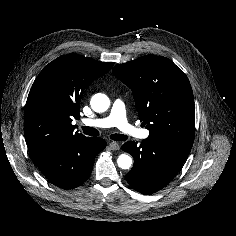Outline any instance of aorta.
I'll return each mask as SVG.
<instances>
[{
    "label": "aorta",
    "instance_id": "obj_1",
    "mask_svg": "<svg viewBox=\"0 0 236 236\" xmlns=\"http://www.w3.org/2000/svg\"><path fill=\"white\" fill-rule=\"evenodd\" d=\"M110 105L109 98L103 96L100 102L91 101V107L95 112H104L108 109ZM118 166L121 169H129L132 165V158L127 154H121L117 159Z\"/></svg>",
    "mask_w": 236,
    "mask_h": 236
}]
</instances>
